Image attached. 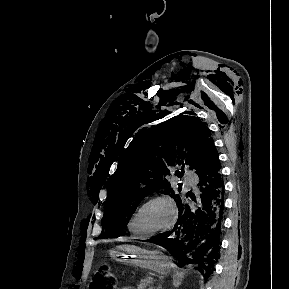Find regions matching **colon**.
<instances>
[{
    "mask_svg": "<svg viewBox=\"0 0 289 289\" xmlns=\"http://www.w3.org/2000/svg\"><path fill=\"white\" fill-rule=\"evenodd\" d=\"M114 281L115 278L109 271L99 269L94 275L90 289H111Z\"/></svg>",
    "mask_w": 289,
    "mask_h": 289,
    "instance_id": "colon-1",
    "label": "colon"
}]
</instances>
